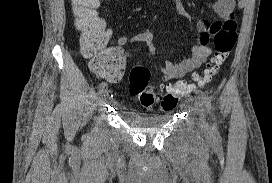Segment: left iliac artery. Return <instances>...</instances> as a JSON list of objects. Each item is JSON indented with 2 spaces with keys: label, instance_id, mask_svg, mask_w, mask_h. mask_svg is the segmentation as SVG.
<instances>
[{
  "label": "left iliac artery",
  "instance_id": "obj_1",
  "mask_svg": "<svg viewBox=\"0 0 272 183\" xmlns=\"http://www.w3.org/2000/svg\"><path fill=\"white\" fill-rule=\"evenodd\" d=\"M197 94H198V98L202 100V102L204 103V105L208 109L209 113L213 116L211 99L207 95H205L204 93L197 92ZM212 133L214 134L215 137H219L217 126H216V123H214V122L212 124Z\"/></svg>",
  "mask_w": 272,
  "mask_h": 183
}]
</instances>
